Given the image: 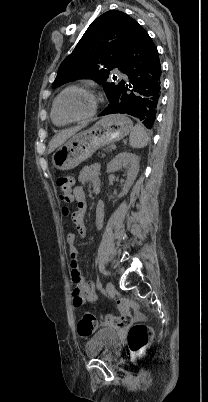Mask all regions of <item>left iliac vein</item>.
Wrapping results in <instances>:
<instances>
[{"label": "left iliac vein", "instance_id": "1", "mask_svg": "<svg viewBox=\"0 0 208 402\" xmlns=\"http://www.w3.org/2000/svg\"><path fill=\"white\" fill-rule=\"evenodd\" d=\"M106 294H107L109 297H113L114 294H115V288H114V285H113L111 282H108V283L106 284Z\"/></svg>", "mask_w": 208, "mask_h": 402}]
</instances>
